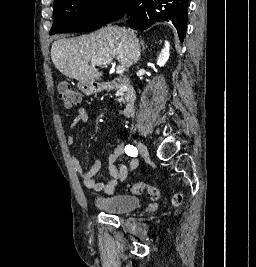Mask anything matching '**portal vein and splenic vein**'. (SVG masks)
<instances>
[{
    "label": "portal vein and splenic vein",
    "mask_w": 256,
    "mask_h": 267,
    "mask_svg": "<svg viewBox=\"0 0 256 267\" xmlns=\"http://www.w3.org/2000/svg\"><path fill=\"white\" fill-rule=\"evenodd\" d=\"M111 62L112 60H110V62H95V60H91V64H97V66H108V64H111ZM124 70V66H117L116 74H123Z\"/></svg>",
    "instance_id": "obj_1"
}]
</instances>
